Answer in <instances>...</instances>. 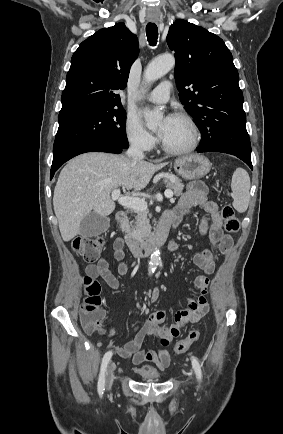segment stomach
<instances>
[{
	"label": "stomach",
	"mask_w": 283,
	"mask_h": 434,
	"mask_svg": "<svg viewBox=\"0 0 283 434\" xmlns=\"http://www.w3.org/2000/svg\"><path fill=\"white\" fill-rule=\"evenodd\" d=\"M174 169L184 179L194 180L205 176L211 169V163L202 155L192 154L178 158Z\"/></svg>",
	"instance_id": "obj_1"
}]
</instances>
